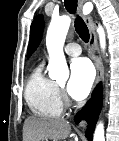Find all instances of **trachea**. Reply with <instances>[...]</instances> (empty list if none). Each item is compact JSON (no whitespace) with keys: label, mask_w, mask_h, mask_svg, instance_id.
<instances>
[{"label":"trachea","mask_w":119,"mask_h":141,"mask_svg":"<svg viewBox=\"0 0 119 141\" xmlns=\"http://www.w3.org/2000/svg\"><path fill=\"white\" fill-rule=\"evenodd\" d=\"M67 11L71 14H76L77 0H64ZM75 30L84 42L89 41V30L85 22L80 16H76L75 19Z\"/></svg>","instance_id":"obj_1"}]
</instances>
